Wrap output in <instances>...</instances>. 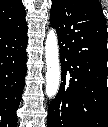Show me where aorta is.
I'll list each match as a JSON object with an SVG mask.
<instances>
[{
  "mask_svg": "<svg viewBox=\"0 0 108 127\" xmlns=\"http://www.w3.org/2000/svg\"><path fill=\"white\" fill-rule=\"evenodd\" d=\"M46 59V89L45 93L49 98L55 96L60 84V64L57 34L54 29H50L45 41Z\"/></svg>",
  "mask_w": 108,
  "mask_h": 127,
  "instance_id": "762f6f07",
  "label": "aorta"
}]
</instances>
